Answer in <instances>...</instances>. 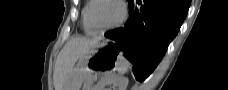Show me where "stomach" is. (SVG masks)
<instances>
[{
    "instance_id": "stomach-1",
    "label": "stomach",
    "mask_w": 228,
    "mask_h": 90,
    "mask_svg": "<svg viewBox=\"0 0 228 90\" xmlns=\"http://www.w3.org/2000/svg\"><path fill=\"white\" fill-rule=\"evenodd\" d=\"M121 54L113 47V42L103 41L84 54L72 70L65 90H80L88 76L98 70L113 68Z\"/></svg>"
}]
</instances>
